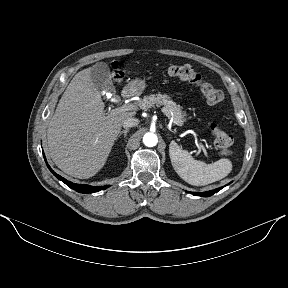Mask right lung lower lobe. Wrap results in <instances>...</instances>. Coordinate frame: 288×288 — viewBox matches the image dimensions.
<instances>
[{"label": "right lung lower lobe", "instance_id": "right-lung-lower-lobe-1", "mask_svg": "<svg viewBox=\"0 0 288 288\" xmlns=\"http://www.w3.org/2000/svg\"><path fill=\"white\" fill-rule=\"evenodd\" d=\"M44 159H45V162L47 163L46 161V158H45V155H44ZM48 168L50 169V171L61 181H63L68 187L76 190L77 192H80V193H93V192H97V191H100V190H104L106 188H108L109 186L106 185V186H91V185H84V184H74L72 182H69L67 181L65 178L61 177L60 175L56 174L51 168L49 165H47Z\"/></svg>", "mask_w": 288, "mask_h": 288}]
</instances>
